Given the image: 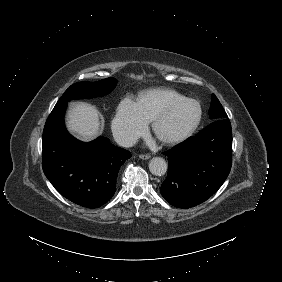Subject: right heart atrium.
<instances>
[{"mask_svg":"<svg viewBox=\"0 0 282 282\" xmlns=\"http://www.w3.org/2000/svg\"><path fill=\"white\" fill-rule=\"evenodd\" d=\"M148 125L149 120L140 104L127 98L117 108L112 131L118 141L130 144L147 131Z\"/></svg>","mask_w":282,"mask_h":282,"instance_id":"1","label":"right heart atrium"}]
</instances>
